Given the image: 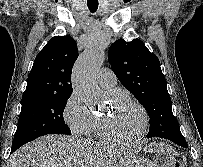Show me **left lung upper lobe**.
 I'll return each instance as SVG.
<instances>
[{"label": "left lung upper lobe", "instance_id": "1", "mask_svg": "<svg viewBox=\"0 0 203 167\" xmlns=\"http://www.w3.org/2000/svg\"><path fill=\"white\" fill-rule=\"evenodd\" d=\"M108 60L119 81L146 109L150 118L147 137L182 135L157 56L141 40L119 39L111 45Z\"/></svg>", "mask_w": 203, "mask_h": 167}]
</instances>
